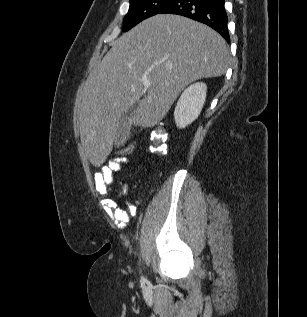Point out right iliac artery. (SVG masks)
I'll return each mask as SVG.
<instances>
[{"instance_id":"82829eb1","label":"right iliac artery","mask_w":307,"mask_h":317,"mask_svg":"<svg viewBox=\"0 0 307 317\" xmlns=\"http://www.w3.org/2000/svg\"><path fill=\"white\" fill-rule=\"evenodd\" d=\"M145 281H146L145 278H144V277H141V283L144 284Z\"/></svg>"}]
</instances>
